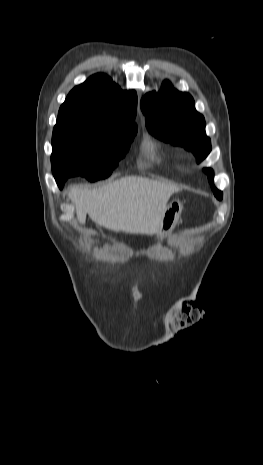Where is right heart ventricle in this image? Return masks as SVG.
I'll return each instance as SVG.
<instances>
[{
    "label": "right heart ventricle",
    "mask_w": 263,
    "mask_h": 465,
    "mask_svg": "<svg viewBox=\"0 0 263 465\" xmlns=\"http://www.w3.org/2000/svg\"><path fill=\"white\" fill-rule=\"evenodd\" d=\"M145 149L152 158L157 157V147L154 143L147 142L145 145Z\"/></svg>",
    "instance_id": "e07e8e85"
}]
</instances>
